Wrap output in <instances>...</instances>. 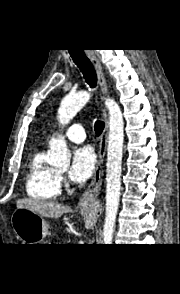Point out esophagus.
Returning <instances> with one entry per match:
<instances>
[{"label": "esophagus", "instance_id": "34e87169", "mask_svg": "<svg viewBox=\"0 0 180 294\" xmlns=\"http://www.w3.org/2000/svg\"><path fill=\"white\" fill-rule=\"evenodd\" d=\"M86 54L95 68L101 92L103 96H105L107 94L108 86L101 63L94 55L93 51L86 50ZM103 117L105 120V127L100 137L98 161L95 166L92 181L80 198V211L87 222L96 221L102 214V205L99 200V192L101 188L103 163L107 149L109 127L108 117L105 109H103Z\"/></svg>", "mask_w": 180, "mask_h": 294}]
</instances>
